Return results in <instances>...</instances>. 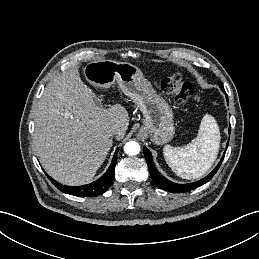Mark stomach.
<instances>
[{"label":"stomach","instance_id":"stomach-1","mask_svg":"<svg viewBox=\"0 0 259 259\" xmlns=\"http://www.w3.org/2000/svg\"><path fill=\"white\" fill-rule=\"evenodd\" d=\"M83 71L86 79L96 87L108 88L115 81L118 83L122 92L140 108L144 117L140 132L148 135L152 142L162 145L174 137L171 107L156 93L138 67L104 59L89 62Z\"/></svg>","mask_w":259,"mask_h":259}]
</instances>
